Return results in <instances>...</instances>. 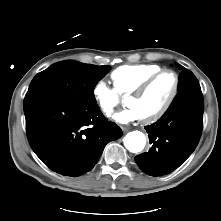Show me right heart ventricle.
Wrapping results in <instances>:
<instances>
[{"label":"right heart ventricle","instance_id":"right-heart-ventricle-1","mask_svg":"<svg viewBox=\"0 0 221 221\" xmlns=\"http://www.w3.org/2000/svg\"><path fill=\"white\" fill-rule=\"evenodd\" d=\"M162 68L157 65H124L111 73L115 90L120 95H129L138 88L148 77Z\"/></svg>","mask_w":221,"mask_h":221}]
</instances>
